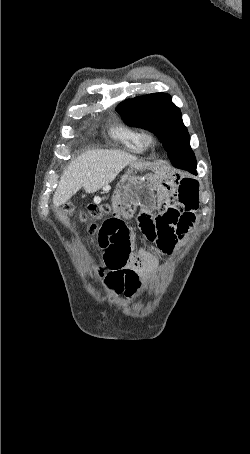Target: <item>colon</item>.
<instances>
[{
  "mask_svg": "<svg viewBox=\"0 0 250 454\" xmlns=\"http://www.w3.org/2000/svg\"><path fill=\"white\" fill-rule=\"evenodd\" d=\"M67 212L70 211V206L66 205L64 208ZM111 211V207L108 204L97 205L91 204L87 207L85 211L81 213V219L87 225V230L90 234H93L96 231L95 224L92 223L93 220L101 219L104 215L108 214Z\"/></svg>",
  "mask_w": 250,
  "mask_h": 454,
  "instance_id": "5ec220e1",
  "label": "colon"
}]
</instances>
